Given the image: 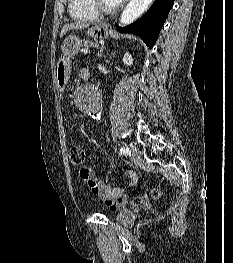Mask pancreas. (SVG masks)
<instances>
[{
  "label": "pancreas",
  "instance_id": "pancreas-1",
  "mask_svg": "<svg viewBox=\"0 0 233 263\" xmlns=\"http://www.w3.org/2000/svg\"><path fill=\"white\" fill-rule=\"evenodd\" d=\"M98 45V42L96 41H90V40H86L84 43H83V47L84 49H88L89 47H96Z\"/></svg>",
  "mask_w": 233,
  "mask_h": 263
}]
</instances>
